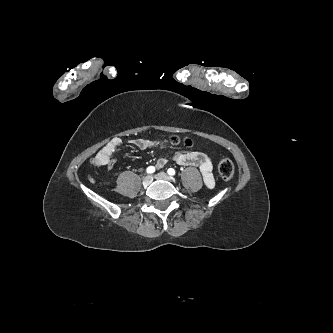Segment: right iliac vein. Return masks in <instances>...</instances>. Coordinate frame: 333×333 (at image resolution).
Instances as JSON below:
<instances>
[{
    "label": "right iliac vein",
    "mask_w": 333,
    "mask_h": 333,
    "mask_svg": "<svg viewBox=\"0 0 333 333\" xmlns=\"http://www.w3.org/2000/svg\"><path fill=\"white\" fill-rule=\"evenodd\" d=\"M153 181V177L151 175H147L146 177H144L142 184L144 186H149Z\"/></svg>",
    "instance_id": "right-iliac-vein-1"
}]
</instances>
